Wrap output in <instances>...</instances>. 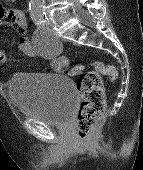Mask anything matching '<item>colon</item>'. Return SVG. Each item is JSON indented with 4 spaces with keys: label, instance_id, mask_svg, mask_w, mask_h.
Returning <instances> with one entry per match:
<instances>
[{
    "label": "colon",
    "instance_id": "5ec220e1",
    "mask_svg": "<svg viewBox=\"0 0 143 170\" xmlns=\"http://www.w3.org/2000/svg\"><path fill=\"white\" fill-rule=\"evenodd\" d=\"M59 62V71H64L66 58L61 57ZM91 66L90 70H85L82 65H76L70 70V74L78 78L77 87L81 97L76 124L81 140H88L91 131L102 119L105 109L104 80L114 81L117 78V71L111 65L95 60Z\"/></svg>",
    "mask_w": 143,
    "mask_h": 170
}]
</instances>
